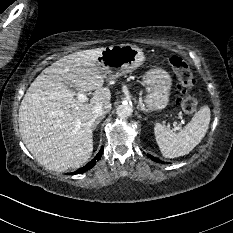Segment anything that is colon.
I'll use <instances>...</instances> for the list:
<instances>
[{"label":"colon","mask_w":233,"mask_h":233,"mask_svg":"<svg viewBox=\"0 0 233 233\" xmlns=\"http://www.w3.org/2000/svg\"><path fill=\"white\" fill-rule=\"evenodd\" d=\"M169 64L176 74L181 86V91L178 96L179 105L184 112L194 113L198 108V101L189 93V90L194 83L193 74L189 65L183 58L176 55L169 58Z\"/></svg>","instance_id":"obj_1"}]
</instances>
